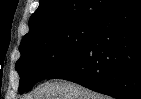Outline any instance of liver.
<instances>
[{
    "mask_svg": "<svg viewBox=\"0 0 141 99\" xmlns=\"http://www.w3.org/2000/svg\"><path fill=\"white\" fill-rule=\"evenodd\" d=\"M26 99H109L107 96L93 92L79 84L55 80L47 82Z\"/></svg>",
    "mask_w": 141,
    "mask_h": 99,
    "instance_id": "obj_1",
    "label": "liver"
}]
</instances>
